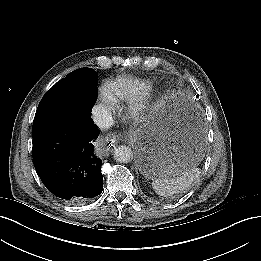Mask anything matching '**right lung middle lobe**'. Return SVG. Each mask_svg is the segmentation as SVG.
I'll use <instances>...</instances> for the list:
<instances>
[{
  "instance_id": "dd1d6c3e",
  "label": "right lung middle lobe",
  "mask_w": 261,
  "mask_h": 261,
  "mask_svg": "<svg viewBox=\"0 0 261 261\" xmlns=\"http://www.w3.org/2000/svg\"><path fill=\"white\" fill-rule=\"evenodd\" d=\"M97 74L80 68L57 82L42 98L33 126L66 119L77 112H91L96 102Z\"/></svg>"
}]
</instances>
